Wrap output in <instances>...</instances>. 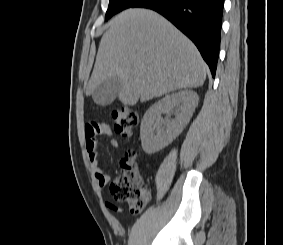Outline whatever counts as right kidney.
<instances>
[{
	"label": "right kidney",
	"mask_w": 283,
	"mask_h": 245,
	"mask_svg": "<svg viewBox=\"0 0 283 245\" xmlns=\"http://www.w3.org/2000/svg\"><path fill=\"white\" fill-rule=\"evenodd\" d=\"M196 92L183 90L153 104L145 113L140 128L142 148L145 153L153 154L169 145L185 128L198 105ZM175 112L176 117L163 120L162 113Z\"/></svg>",
	"instance_id": "right-kidney-1"
}]
</instances>
